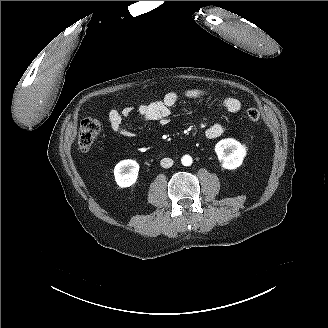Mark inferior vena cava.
Masks as SVG:
<instances>
[{
  "label": "inferior vena cava",
  "instance_id": "inferior-vena-cava-1",
  "mask_svg": "<svg viewBox=\"0 0 328 328\" xmlns=\"http://www.w3.org/2000/svg\"><path fill=\"white\" fill-rule=\"evenodd\" d=\"M173 163H174L173 160L170 158H163L161 160V166L163 168H170L171 166H173Z\"/></svg>",
  "mask_w": 328,
  "mask_h": 328
}]
</instances>
